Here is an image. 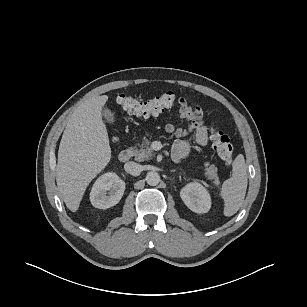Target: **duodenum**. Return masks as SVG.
Instances as JSON below:
<instances>
[{"mask_svg": "<svg viewBox=\"0 0 307 307\" xmlns=\"http://www.w3.org/2000/svg\"><path fill=\"white\" fill-rule=\"evenodd\" d=\"M132 157V151L129 149L123 150L119 154V161L122 163L128 162Z\"/></svg>", "mask_w": 307, "mask_h": 307, "instance_id": "obj_1", "label": "duodenum"}]
</instances>
